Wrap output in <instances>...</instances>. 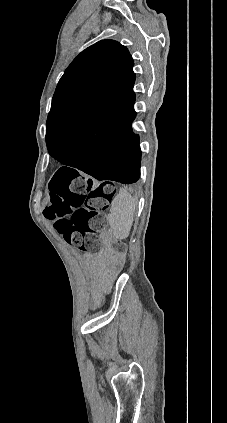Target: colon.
I'll return each mask as SVG.
<instances>
[{
  "instance_id": "1",
  "label": "colon",
  "mask_w": 227,
  "mask_h": 423,
  "mask_svg": "<svg viewBox=\"0 0 227 423\" xmlns=\"http://www.w3.org/2000/svg\"><path fill=\"white\" fill-rule=\"evenodd\" d=\"M113 195L114 188L109 184L94 185L78 173L60 170L50 183L44 214L68 244L95 252L100 245L97 233L104 226V211Z\"/></svg>"
}]
</instances>
